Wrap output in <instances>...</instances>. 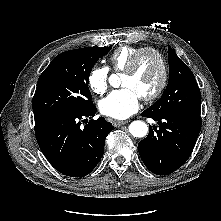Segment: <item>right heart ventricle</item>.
<instances>
[{
  "label": "right heart ventricle",
  "instance_id": "1",
  "mask_svg": "<svg viewBox=\"0 0 221 221\" xmlns=\"http://www.w3.org/2000/svg\"><path fill=\"white\" fill-rule=\"evenodd\" d=\"M144 47L121 46L116 49L110 56V68L115 72H123L133 55Z\"/></svg>",
  "mask_w": 221,
  "mask_h": 221
}]
</instances>
